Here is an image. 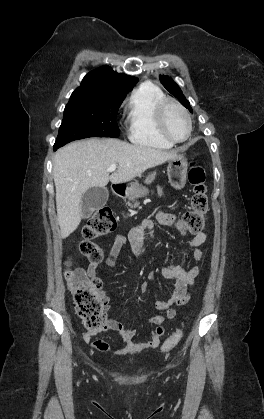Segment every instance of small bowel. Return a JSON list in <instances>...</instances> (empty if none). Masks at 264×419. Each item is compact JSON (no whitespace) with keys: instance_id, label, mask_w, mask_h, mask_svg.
Segmentation results:
<instances>
[{"instance_id":"c3829d8e","label":"small bowel","mask_w":264,"mask_h":419,"mask_svg":"<svg viewBox=\"0 0 264 419\" xmlns=\"http://www.w3.org/2000/svg\"><path fill=\"white\" fill-rule=\"evenodd\" d=\"M156 220L159 224L164 226H174L176 224V216L170 213H167L163 210H160L156 214ZM152 222L150 220H143L139 225L134 227L129 235V241L133 249L138 255H142L144 250L142 247V240L145 234H148L152 229ZM126 239L121 235H117L114 238L112 245V254L117 255L122 246L124 245ZM206 241V234L199 232L196 234L190 241L186 243V247L192 250V259L194 261H200L204 257V251L202 246ZM98 263H91L85 273L91 278L94 282L99 294L106 302V310L110 308L109 297L106 295V292L103 287V283L98 276ZM201 272L200 266H194L191 268H186L180 264H170L162 268L161 273L166 279L174 280V287L171 293L170 298L168 299H159L156 301V308L159 310V314L150 317L146 321L147 326L155 327L151 333V338L148 341H134L133 337L136 334V329H128L125 325L116 318L109 317L108 315L104 316V324L102 328L94 332H86L83 335V340L86 343H90L91 346L102 353H107L110 350V346L107 341L103 339H95L94 336L100 331H112L117 333L122 340L121 348L116 352L118 356H130L135 353L153 349L159 346L160 339L163 336L165 329L162 326L165 320L172 319L175 315L173 306H181L186 304L191 295L189 292V287L195 283L196 278ZM155 273L150 272L148 274V280H155ZM147 288V283H143L141 289L145 291Z\"/></svg>"}]
</instances>
